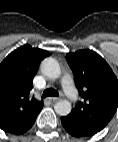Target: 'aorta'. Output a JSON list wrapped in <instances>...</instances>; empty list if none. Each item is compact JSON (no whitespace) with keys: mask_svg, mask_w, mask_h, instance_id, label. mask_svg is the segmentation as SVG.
Wrapping results in <instances>:
<instances>
[{"mask_svg":"<svg viewBox=\"0 0 118 142\" xmlns=\"http://www.w3.org/2000/svg\"><path fill=\"white\" fill-rule=\"evenodd\" d=\"M41 71L50 79H57L61 76L60 65L53 58L43 60L41 63ZM54 109L60 116H67L72 110V105L68 100H60L54 105Z\"/></svg>","mask_w":118,"mask_h":142,"instance_id":"aorta-1","label":"aorta"}]
</instances>
